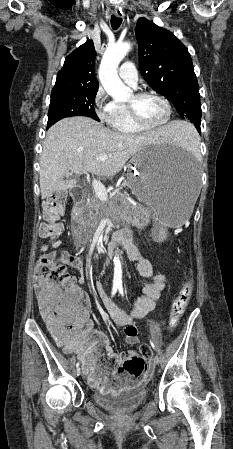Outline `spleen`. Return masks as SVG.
Masks as SVG:
<instances>
[{
  "mask_svg": "<svg viewBox=\"0 0 233 449\" xmlns=\"http://www.w3.org/2000/svg\"><path fill=\"white\" fill-rule=\"evenodd\" d=\"M177 144L185 149H196L199 139L191 124L183 125V134H178Z\"/></svg>",
  "mask_w": 233,
  "mask_h": 449,
  "instance_id": "obj_1",
  "label": "spleen"
}]
</instances>
